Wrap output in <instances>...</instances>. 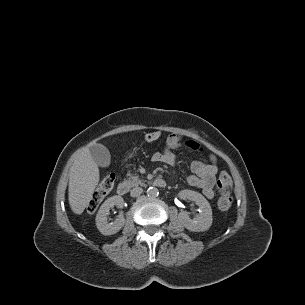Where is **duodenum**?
<instances>
[{
  "mask_svg": "<svg viewBox=\"0 0 305 305\" xmlns=\"http://www.w3.org/2000/svg\"><path fill=\"white\" fill-rule=\"evenodd\" d=\"M166 181L162 178H157L153 181V185L156 186V187H160V188H163L166 186ZM129 191V183L128 182H121L118 187H117V193L119 195H126Z\"/></svg>",
  "mask_w": 305,
  "mask_h": 305,
  "instance_id": "1",
  "label": "duodenum"
}]
</instances>
